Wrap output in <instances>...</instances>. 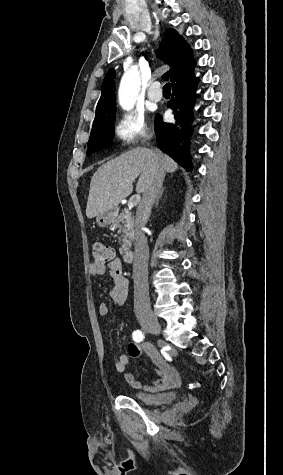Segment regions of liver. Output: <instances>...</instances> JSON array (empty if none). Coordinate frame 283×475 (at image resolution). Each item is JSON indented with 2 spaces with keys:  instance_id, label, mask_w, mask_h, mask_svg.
I'll return each instance as SVG.
<instances>
[{
  "instance_id": "obj_1",
  "label": "liver",
  "mask_w": 283,
  "mask_h": 475,
  "mask_svg": "<svg viewBox=\"0 0 283 475\" xmlns=\"http://www.w3.org/2000/svg\"><path fill=\"white\" fill-rule=\"evenodd\" d=\"M156 158H159L164 172H176L178 166L174 160L162 152H152L148 148H133L100 166L90 182L86 206L87 218H95L107 210H117L118 204L132 194V184L138 176L140 178L136 192L144 194L152 170L155 168Z\"/></svg>"
}]
</instances>
